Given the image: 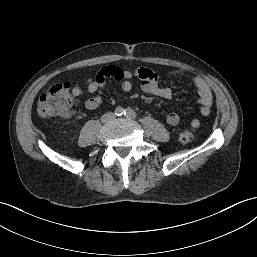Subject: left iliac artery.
<instances>
[{
	"label": "left iliac artery",
	"mask_w": 257,
	"mask_h": 257,
	"mask_svg": "<svg viewBox=\"0 0 257 257\" xmlns=\"http://www.w3.org/2000/svg\"><path fill=\"white\" fill-rule=\"evenodd\" d=\"M124 115L126 117H129V118H135L136 117V113L132 109H126L125 112H124Z\"/></svg>",
	"instance_id": "1"
}]
</instances>
